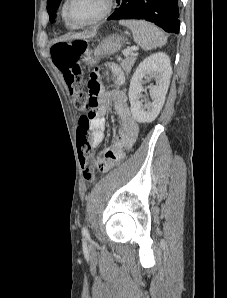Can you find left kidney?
I'll list each match as a JSON object with an SVG mask.
<instances>
[{"label": "left kidney", "instance_id": "1", "mask_svg": "<svg viewBox=\"0 0 227 298\" xmlns=\"http://www.w3.org/2000/svg\"><path fill=\"white\" fill-rule=\"evenodd\" d=\"M172 67L170 58L163 52L155 53L144 59L132 76L129 88V100L131 113L139 123L152 122L160 113L168 91ZM155 77L156 85H151L152 102L146 101L144 105L140 101L142 97L143 78Z\"/></svg>", "mask_w": 227, "mask_h": 298}]
</instances>
